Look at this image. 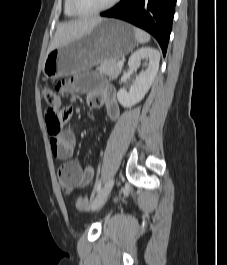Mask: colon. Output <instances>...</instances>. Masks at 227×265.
<instances>
[{
    "label": "colon",
    "instance_id": "5ec220e1",
    "mask_svg": "<svg viewBox=\"0 0 227 265\" xmlns=\"http://www.w3.org/2000/svg\"><path fill=\"white\" fill-rule=\"evenodd\" d=\"M42 97L49 106V110L46 113V126L50 135H56L60 132L62 124L67 121L71 116V108L69 106H63L59 95L49 89H41ZM64 108H68V111H64ZM89 205V199L86 197L78 198L76 201V207L78 209H85Z\"/></svg>",
    "mask_w": 227,
    "mask_h": 265
}]
</instances>
